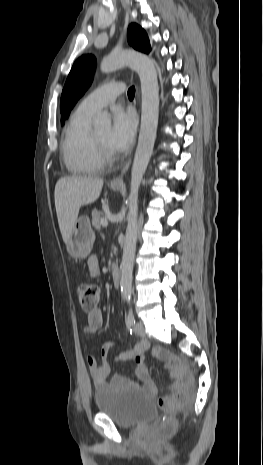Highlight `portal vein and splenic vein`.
I'll use <instances>...</instances> for the list:
<instances>
[{
    "instance_id": "1",
    "label": "portal vein and splenic vein",
    "mask_w": 263,
    "mask_h": 465,
    "mask_svg": "<svg viewBox=\"0 0 263 465\" xmlns=\"http://www.w3.org/2000/svg\"><path fill=\"white\" fill-rule=\"evenodd\" d=\"M101 225H102L103 227H107V226H108V221H107V219L103 218V219L101 220Z\"/></svg>"
}]
</instances>
